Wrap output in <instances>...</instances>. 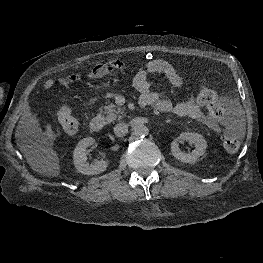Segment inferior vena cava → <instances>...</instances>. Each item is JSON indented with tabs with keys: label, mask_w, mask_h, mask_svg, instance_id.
<instances>
[{
	"label": "inferior vena cava",
	"mask_w": 263,
	"mask_h": 263,
	"mask_svg": "<svg viewBox=\"0 0 263 263\" xmlns=\"http://www.w3.org/2000/svg\"><path fill=\"white\" fill-rule=\"evenodd\" d=\"M114 133L118 137H123L128 133V125L126 123H118L114 127Z\"/></svg>",
	"instance_id": "obj_1"
}]
</instances>
